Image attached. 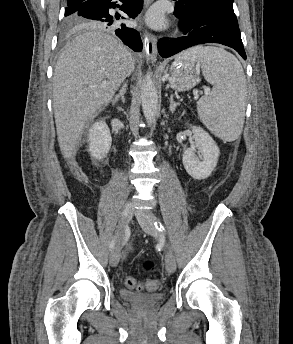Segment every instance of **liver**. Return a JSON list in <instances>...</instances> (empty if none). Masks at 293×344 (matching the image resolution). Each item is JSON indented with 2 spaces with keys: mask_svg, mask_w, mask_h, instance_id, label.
Wrapping results in <instances>:
<instances>
[{
  "mask_svg": "<svg viewBox=\"0 0 293 344\" xmlns=\"http://www.w3.org/2000/svg\"><path fill=\"white\" fill-rule=\"evenodd\" d=\"M94 28L75 37L55 66L54 117L59 147L67 160L74 159L86 124L135 69L131 52Z\"/></svg>",
  "mask_w": 293,
  "mask_h": 344,
  "instance_id": "obj_1",
  "label": "liver"
}]
</instances>
